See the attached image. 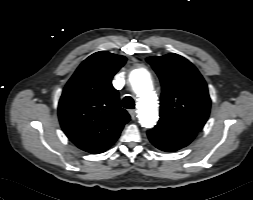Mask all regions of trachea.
<instances>
[{
	"mask_svg": "<svg viewBox=\"0 0 253 200\" xmlns=\"http://www.w3.org/2000/svg\"><path fill=\"white\" fill-rule=\"evenodd\" d=\"M122 106L126 109H134L135 103L134 100L130 96H126L122 100Z\"/></svg>",
	"mask_w": 253,
	"mask_h": 200,
	"instance_id": "obj_1",
	"label": "trachea"
}]
</instances>
